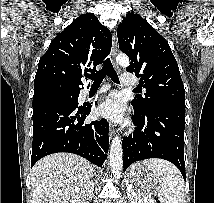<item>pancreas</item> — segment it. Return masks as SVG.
Segmentation results:
<instances>
[{"label": "pancreas", "mask_w": 214, "mask_h": 203, "mask_svg": "<svg viewBox=\"0 0 214 203\" xmlns=\"http://www.w3.org/2000/svg\"><path fill=\"white\" fill-rule=\"evenodd\" d=\"M130 203H154L153 201H146L144 198L145 196H142L141 194L134 191V189L130 192Z\"/></svg>", "instance_id": "1"}]
</instances>
